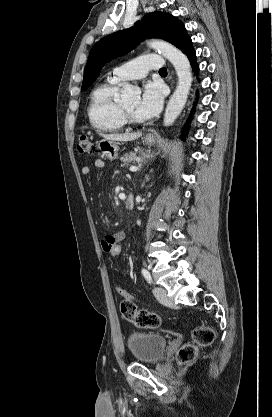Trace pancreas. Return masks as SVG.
<instances>
[{
    "instance_id": "pancreas-1",
    "label": "pancreas",
    "mask_w": 272,
    "mask_h": 417,
    "mask_svg": "<svg viewBox=\"0 0 272 417\" xmlns=\"http://www.w3.org/2000/svg\"><path fill=\"white\" fill-rule=\"evenodd\" d=\"M121 161L123 163L122 166H125V165L128 166L131 162H133V163H135V162L140 163L142 161V158L136 156V154L134 152H131L129 154H125L124 157L121 158Z\"/></svg>"
}]
</instances>
